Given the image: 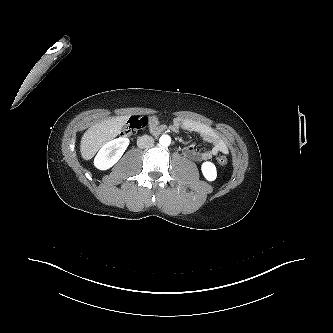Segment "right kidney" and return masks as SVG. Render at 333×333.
I'll return each mask as SVG.
<instances>
[{
    "mask_svg": "<svg viewBox=\"0 0 333 333\" xmlns=\"http://www.w3.org/2000/svg\"><path fill=\"white\" fill-rule=\"evenodd\" d=\"M129 139L119 137L107 142L94 158V166L99 170H107L115 165L129 145Z\"/></svg>",
    "mask_w": 333,
    "mask_h": 333,
    "instance_id": "obj_1",
    "label": "right kidney"
}]
</instances>
